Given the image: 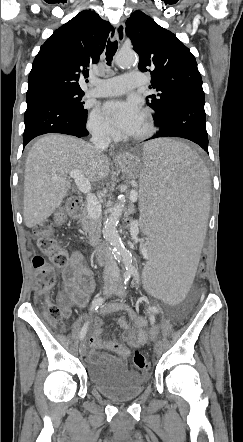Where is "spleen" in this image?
Returning a JSON list of instances; mask_svg holds the SVG:
<instances>
[{"label":"spleen","instance_id":"1","mask_svg":"<svg viewBox=\"0 0 243 442\" xmlns=\"http://www.w3.org/2000/svg\"><path fill=\"white\" fill-rule=\"evenodd\" d=\"M139 160L142 235L150 242L141 291H150L164 307H183L206 234L208 173L194 150L171 139L147 143Z\"/></svg>","mask_w":243,"mask_h":442}]
</instances>
